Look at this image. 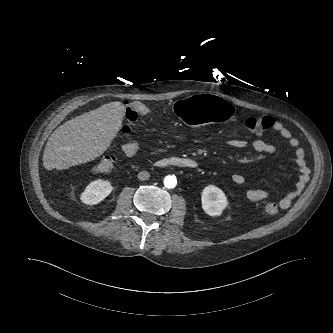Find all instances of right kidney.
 <instances>
[{"label": "right kidney", "instance_id": "1", "mask_svg": "<svg viewBox=\"0 0 333 333\" xmlns=\"http://www.w3.org/2000/svg\"><path fill=\"white\" fill-rule=\"evenodd\" d=\"M113 190L109 181L97 179L88 184L81 194V200L87 205H95L103 201Z\"/></svg>", "mask_w": 333, "mask_h": 333}]
</instances>
